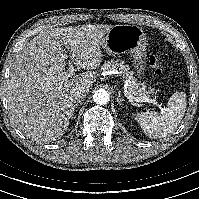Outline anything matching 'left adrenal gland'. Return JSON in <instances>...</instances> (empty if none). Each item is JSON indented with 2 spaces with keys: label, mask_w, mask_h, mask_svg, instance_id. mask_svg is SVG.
I'll list each match as a JSON object with an SVG mask.
<instances>
[{
  "label": "left adrenal gland",
  "mask_w": 199,
  "mask_h": 199,
  "mask_svg": "<svg viewBox=\"0 0 199 199\" xmlns=\"http://www.w3.org/2000/svg\"><path fill=\"white\" fill-rule=\"evenodd\" d=\"M117 90H118L117 102H118V103H121V101H122V99H121V94H120L119 89H117Z\"/></svg>",
  "instance_id": "left-adrenal-gland-1"
}]
</instances>
